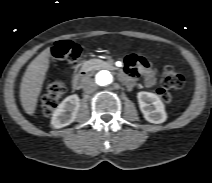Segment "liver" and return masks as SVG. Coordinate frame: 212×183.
Masks as SVG:
<instances>
[{"instance_id": "6515ba94", "label": "liver", "mask_w": 212, "mask_h": 183, "mask_svg": "<svg viewBox=\"0 0 212 183\" xmlns=\"http://www.w3.org/2000/svg\"><path fill=\"white\" fill-rule=\"evenodd\" d=\"M50 48L41 52L27 67L20 86V100L25 112L33 115L49 68Z\"/></svg>"}]
</instances>
